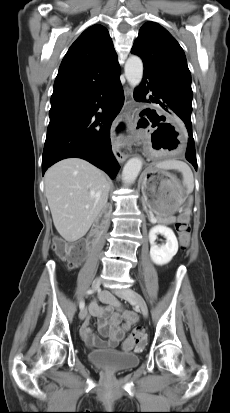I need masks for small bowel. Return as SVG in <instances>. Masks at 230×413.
Here are the masks:
<instances>
[{
	"mask_svg": "<svg viewBox=\"0 0 230 413\" xmlns=\"http://www.w3.org/2000/svg\"><path fill=\"white\" fill-rule=\"evenodd\" d=\"M99 300L108 304L104 307L96 301L92 302L89 307L90 315L99 319L98 327L102 336L107 337V341H103L92 334L89 325V319H86L82 325L81 335L84 342L90 347L99 348H115L123 339L124 335L137 322L135 313L124 310L115 312V308L120 304L115 297L108 291H102L99 294ZM121 318L123 322L121 323ZM132 348V343L129 339L123 343V351L128 352Z\"/></svg>",
	"mask_w": 230,
	"mask_h": 413,
	"instance_id": "small-bowel-1",
	"label": "small bowel"
}]
</instances>
